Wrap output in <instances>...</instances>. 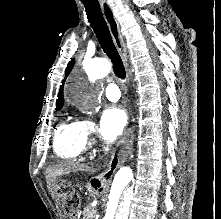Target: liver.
Returning <instances> with one entry per match:
<instances>
[{
	"mask_svg": "<svg viewBox=\"0 0 221 219\" xmlns=\"http://www.w3.org/2000/svg\"><path fill=\"white\" fill-rule=\"evenodd\" d=\"M91 169H92L91 167L85 164H79V163H73V162H65L59 165L49 167L46 173H47L48 189H49V192L51 193V196L53 198L55 197L57 177L67 175L72 172L89 171Z\"/></svg>",
	"mask_w": 221,
	"mask_h": 219,
	"instance_id": "1",
	"label": "liver"
}]
</instances>
